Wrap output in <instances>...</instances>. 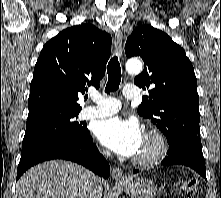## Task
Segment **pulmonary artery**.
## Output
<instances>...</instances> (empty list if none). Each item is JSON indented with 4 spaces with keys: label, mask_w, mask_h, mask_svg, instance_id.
<instances>
[{
    "label": "pulmonary artery",
    "mask_w": 221,
    "mask_h": 198,
    "mask_svg": "<svg viewBox=\"0 0 221 198\" xmlns=\"http://www.w3.org/2000/svg\"><path fill=\"white\" fill-rule=\"evenodd\" d=\"M123 95L127 99H134L138 96L135 86L126 85L123 89ZM94 105L86 106L80 113L83 119L103 118L115 114L119 111L121 103L113 97H106L99 93H92L90 96Z\"/></svg>",
    "instance_id": "pulmonary-artery-1"
}]
</instances>
